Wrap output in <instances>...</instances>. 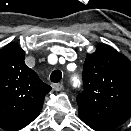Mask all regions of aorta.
<instances>
[{"label": "aorta", "mask_w": 131, "mask_h": 131, "mask_svg": "<svg viewBox=\"0 0 131 131\" xmlns=\"http://www.w3.org/2000/svg\"><path fill=\"white\" fill-rule=\"evenodd\" d=\"M78 83H77V80H74V85H77Z\"/></svg>", "instance_id": "1"}]
</instances>
